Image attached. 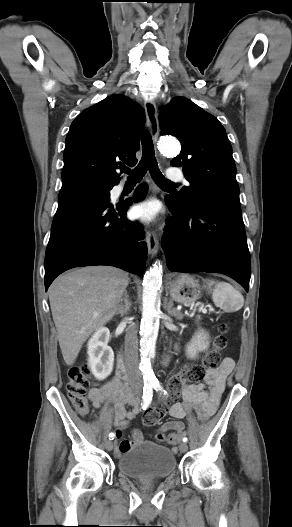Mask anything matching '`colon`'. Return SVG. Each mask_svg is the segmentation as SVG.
Instances as JSON below:
<instances>
[{
    "label": "colon",
    "instance_id": "colon-1",
    "mask_svg": "<svg viewBox=\"0 0 292 527\" xmlns=\"http://www.w3.org/2000/svg\"><path fill=\"white\" fill-rule=\"evenodd\" d=\"M227 325L219 326V333L213 341L212 349L204 356L200 364L185 365L179 373L168 381L170 396L175 398L183 385H197L205 378L208 370L215 369L221 362V353L227 347ZM91 371L88 365H76L69 369L66 384L67 395L74 408L81 415H86L89 410L87 392L91 386ZM168 410L166 402H159L149 407L142 417L144 426L157 425Z\"/></svg>",
    "mask_w": 292,
    "mask_h": 527
}]
</instances>
